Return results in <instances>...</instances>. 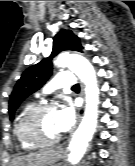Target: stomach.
Here are the masks:
<instances>
[{
  "label": "stomach",
  "instance_id": "0dacf381",
  "mask_svg": "<svg viewBox=\"0 0 135 166\" xmlns=\"http://www.w3.org/2000/svg\"><path fill=\"white\" fill-rule=\"evenodd\" d=\"M61 157V151L59 149H50V153L46 159L36 160L32 166H55V162Z\"/></svg>",
  "mask_w": 135,
  "mask_h": 166
}]
</instances>
